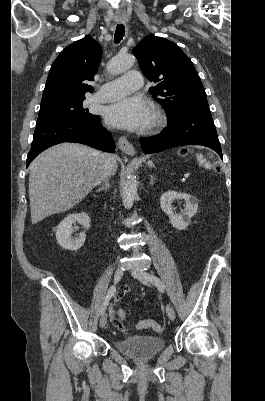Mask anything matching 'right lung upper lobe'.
Wrapping results in <instances>:
<instances>
[{
    "label": "right lung upper lobe",
    "mask_w": 265,
    "mask_h": 401,
    "mask_svg": "<svg viewBox=\"0 0 265 401\" xmlns=\"http://www.w3.org/2000/svg\"><path fill=\"white\" fill-rule=\"evenodd\" d=\"M101 57V46L89 35L63 49L50 68L41 104L92 92L85 82L94 80Z\"/></svg>",
    "instance_id": "right-lung-upper-lobe-1"
}]
</instances>
